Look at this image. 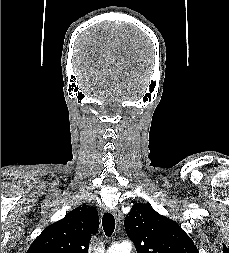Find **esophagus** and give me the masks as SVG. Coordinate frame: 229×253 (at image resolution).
<instances>
[{
    "label": "esophagus",
    "mask_w": 229,
    "mask_h": 253,
    "mask_svg": "<svg viewBox=\"0 0 229 253\" xmlns=\"http://www.w3.org/2000/svg\"><path fill=\"white\" fill-rule=\"evenodd\" d=\"M112 213H113V215L115 216V218H116L118 221H120V219H121V213H120V211H119L118 209H114V210L112 211Z\"/></svg>",
    "instance_id": "1"
}]
</instances>
